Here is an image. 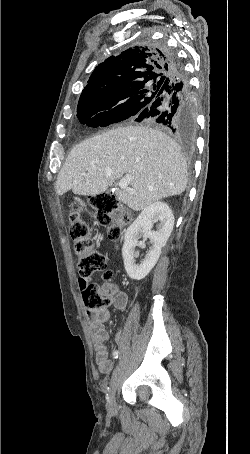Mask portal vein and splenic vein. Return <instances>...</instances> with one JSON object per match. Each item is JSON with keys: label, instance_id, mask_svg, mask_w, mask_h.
<instances>
[{"label": "portal vein and splenic vein", "instance_id": "obj_1", "mask_svg": "<svg viewBox=\"0 0 250 454\" xmlns=\"http://www.w3.org/2000/svg\"><path fill=\"white\" fill-rule=\"evenodd\" d=\"M130 183V176L126 175L123 179H121L118 183L119 187L123 190L129 191L131 193H135V191L128 187Z\"/></svg>", "mask_w": 250, "mask_h": 454}]
</instances>
